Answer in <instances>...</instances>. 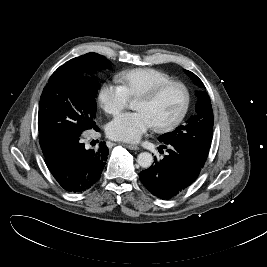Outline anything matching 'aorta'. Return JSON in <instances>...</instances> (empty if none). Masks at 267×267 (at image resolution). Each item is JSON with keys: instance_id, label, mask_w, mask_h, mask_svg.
<instances>
[{"instance_id": "1", "label": "aorta", "mask_w": 267, "mask_h": 267, "mask_svg": "<svg viewBox=\"0 0 267 267\" xmlns=\"http://www.w3.org/2000/svg\"><path fill=\"white\" fill-rule=\"evenodd\" d=\"M137 162L142 168H149L153 163V156L148 152H142L138 155Z\"/></svg>"}]
</instances>
